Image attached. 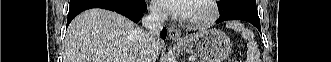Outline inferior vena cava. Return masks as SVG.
<instances>
[{
	"label": "inferior vena cava",
	"mask_w": 331,
	"mask_h": 62,
	"mask_svg": "<svg viewBox=\"0 0 331 62\" xmlns=\"http://www.w3.org/2000/svg\"><path fill=\"white\" fill-rule=\"evenodd\" d=\"M166 14L161 9L151 6L149 15L142 18V26L146 29L142 32L138 43L136 62H153V45L159 40L158 34L166 20Z\"/></svg>",
	"instance_id": "602c4592"
}]
</instances>
